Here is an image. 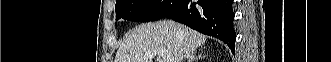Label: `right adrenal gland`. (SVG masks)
Returning a JSON list of instances; mask_svg holds the SVG:
<instances>
[{"label":"right adrenal gland","mask_w":331,"mask_h":62,"mask_svg":"<svg viewBox=\"0 0 331 62\" xmlns=\"http://www.w3.org/2000/svg\"><path fill=\"white\" fill-rule=\"evenodd\" d=\"M205 55L201 53H199L197 56L195 53H191L189 56H188V62H195L201 58H204Z\"/></svg>","instance_id":"obj_1"}]
</instances>
